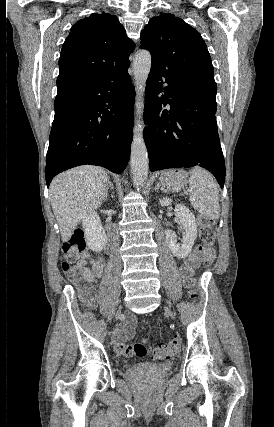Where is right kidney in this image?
Here are the masks:
<instances>
[{
	"label": "right kidney",
	"instance_id": "ca27d5eb",
	"mask_svg": "<svg viewBox=\"0 0 274 427\" xmlns=\"http://www.w3.org/2000/svg\"><path fill=\"white\" fill-rule=\"evenodd\" d=\"M82 223L87 247L92 251H101L106 245L107 239L99 215L96 212H89L84 215Z\"/></svg>",
	"mask_w": 274,
	"mask_h": 427
}]
</instances>
